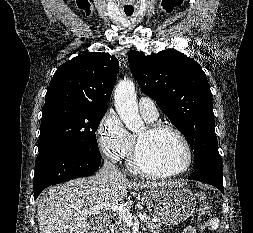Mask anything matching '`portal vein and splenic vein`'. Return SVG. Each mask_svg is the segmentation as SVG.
<instances>
[{
    "label": "portal vein and splenic vein",
    "instance_id": "obj_1",
    "mask_svg": "<svg viewBox=\"0 0 253 233\" xmlns=\"http://www.w3.org/2000/svg\"><path fill=\"white\" fill-rule=\"evenodd\" d=\"M105 210L116 212L119 215V217L122 220H124L127 224H131L133 222L134 216L131 214L129 209L126 208L125 206H123L121 204H117V203L103 202V203L97 204L94 207H91L89 209L82 210L81 213L85 214V215H91L96 212L105 211ZM138 217L142 222H147V217L145 215L139 214Z\"/></svg>",
    "mask_w": 253,
    "mask_h": 233
}]
</instances>
